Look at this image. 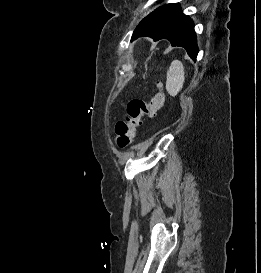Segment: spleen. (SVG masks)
<instances>
[{
    "label": "spleen",
    "mask_w": 261,
    "mask_h": 273,
    "mask_svg": "<svg viewBox=\"0 0 261 273\" xmlns=\"http://www.w3.org/2000/svg\"><path fill=\"white\" fill-rule=\"evenodd\" d=\"M185 81L184 66L181 61H172L168 71L166 80V90L168 93L175 97L183 88Z\"/></svg>",
    "instance_id": "3e777b00"
}]
</instances>
